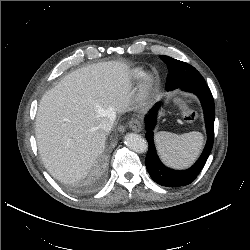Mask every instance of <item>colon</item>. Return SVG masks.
Returning a JSON list of instances; mask_svg holds the SVG:
<instances>
[{"label":"colon","mask_w":250,"mask_h":250,"mask_svg":"<svg viewBox=\"0 0 250 250\" xmlns=\"http://www.w3.org/2000/svg\"><path fill=\"white\" fill-rule=\"evenodd\" d=\"M177 103H178V105L180 106V108L182 110V113H183V116H184L185 120H187L189 122H192V121L196 120L197 113H196V111L194 109H192L189 106V103L186 100H184L182 98H178Z\"/></svg>","instance_id":"1"}]
</instances>
